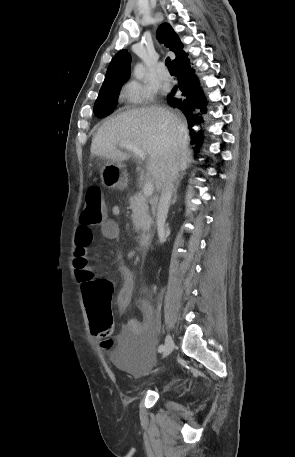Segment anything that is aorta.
<instances>
[{"mask_svg": "<svg viewBox=\"0 0 295 457\" xmlns=\"http://www.w3.org/2000/svg\"><path fill=\"white\" fill-rule=\"evenodd\" d=\"M144 72H145V69H144V66L143 64L141 63H138L135 67H134V76L136 79L138 80H142L143 77H144Z\"/></svg>", "mask_w": 295, "mask_h": 457, "instance_id": "obj_1", "label": "aorta"}]
</instances>
